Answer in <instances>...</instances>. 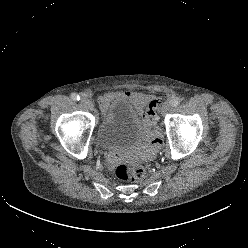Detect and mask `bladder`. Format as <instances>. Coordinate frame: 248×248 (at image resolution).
<instances>
[{
	"instance_id": "31cf9c89",
	"label": "bladder",
	"mask_w": 248,
	"mask_h": 248,
	"mask_svg": "<svg viewBox=\"0 0 248 248\" xmlns=\"http://www.w3.org/2000/svg\"><path fill=\"white\" fill-rule=\"evenodd\" d=\"M148 129L147 121L127 99L115 100L97 129L96 141L102 149L127 148L139 144Z\"/></svg>"
}]
</instances>
